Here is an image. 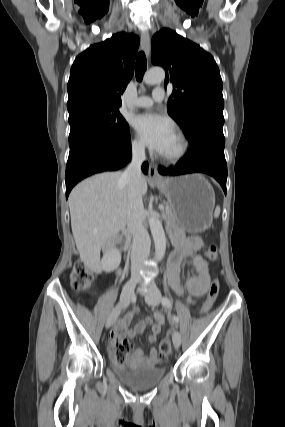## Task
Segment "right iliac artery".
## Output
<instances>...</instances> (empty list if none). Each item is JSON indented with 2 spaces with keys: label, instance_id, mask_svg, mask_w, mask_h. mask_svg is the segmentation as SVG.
Segmentation results:
<instances>
[{
  "label": "right iliac artery",
  "instance_id": "right-iliac-artery-1",
  "mask_svg": "<svg viewBox=\"0 0 285 427\" xmlns=\"http://www.w3.org/2000/svg\"><path fill=\"white\" fill-rule=\"evenodd\" d=\"M129 305V301L124 304L123 308H126Z\"/></svg>",
  "mask_w": 285,
  "mask_h": 427
}]
</instances>
